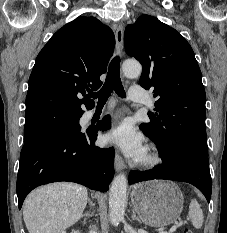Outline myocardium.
I'll return each instance as SVG.
<instances>
[{
  "instance_id": "f54148a6",
  "label": "myocardium",
  "mask_w": 227,
  "mask_h": 233,
  "mask_svg": "<svg viewBox=\"0 0 227 233\" xmlns=\"http://www.w3.org/2000/svg\"><path fill=\"white\" fill-rule=\"evenodd\" d=\"M162 163V156L158 148L154 145L149 146L142 158L139 159V165L145 169H152Z\"/></svg>"
}]
</instances>
